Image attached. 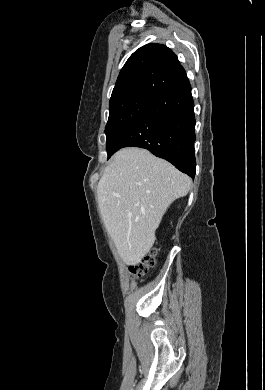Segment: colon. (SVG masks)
<instances>
[{
    "mask_svg": "<svg viewBox=\"0 0 265 390\" xmlns=\"http://www.w3.org/2000/svg\"><path fill=\"white\" fill-rule=\"evenodd\" d=\"M155 255L156 252L152 251L151 253L145 255L138 263L130 266L129 271L131 275L143 278L148 275L150 269L155 264Z\"/></svg>",
    "mask_w": 265,
    "mask_h": 390,
    "instance_id": "colon-1",
    "label": "colon"
}]
</instances>
